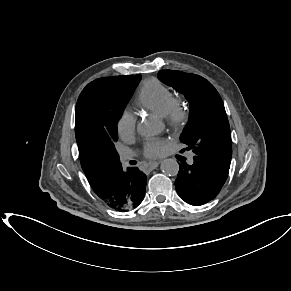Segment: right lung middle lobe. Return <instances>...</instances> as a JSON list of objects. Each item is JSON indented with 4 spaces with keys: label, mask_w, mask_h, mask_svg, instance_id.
Listing matches in <instances>:
<instances>
[{
    "label": "right lung middle lobe",
    "mask_w": 291,
    "mask_h": 291,
    "mask_svg": "<svg viewBox=\"0 0 291 291\" xmlns=\"http://www.w3.org/2000/svg\"><path fill=\"white\" fill-rule=\"evenodd\" d=\"M140 75L104 77L89 83L79 100L93 110L94 139L101 150L118 159L115 142L117 122L128 103Z\"/></svg>",
    "instance_id": "right-lung-middle-lobe-1"
}]
</instances>
